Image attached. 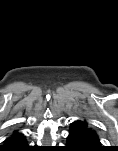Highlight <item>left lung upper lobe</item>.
<instances>
[{
	"label": "left lung upper lobe",
	"mask_w": 118,
	"mask_h": 151,
	"mask_svg": "<svg viewBox=\"0 0 118 151\" xmlns=\"http://www.w3.org/2000/svg\"><path fill=\"white\" fill-rule=\"evenodd\" d=\"M71 127L84 133L87 137H89L94 142L95 145L97 146L101 145L96 131L93 130L91 127H89L88 123L85 120L75 121L71 124Z\"/></svg>",
	"instance_id": "5c2ea615"
}]
</instances>
